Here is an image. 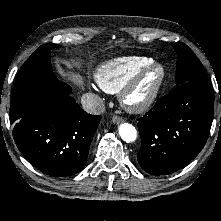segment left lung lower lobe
Wrapping results in <instances>:
<instances>
[{
    "label": "left lung lower lobe",
    "instance_id": "0a47b994",
    "mask_svg": "<svg viewBox=\"0 0 221 221\" xmlns=\"http://www.w3.org/2000/svg\"><path fill=\"white\" fill-rule=\"evenodd\" d=\"M214 114L207 80H191L164 96L137 124L140 166L149 174L173 173L202 150Z\"/></svg>",
    "mask_w": 221,
    "mask_h": 221
}]
</instances>
